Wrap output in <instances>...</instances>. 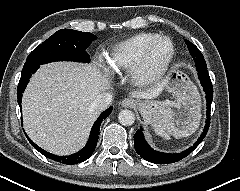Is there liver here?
Instances as JSON below:
<instances>
[{"instance_id":"1","label":"liver","mask_w":240,"mask_h":191,"mask_svg":"<svg viewBox=\"0 0 240 191\" xmlns=\"http://www.w3.org/2000/svg\"><path fill=\"white\" fill-rule=\"evenodd\" d=\"M165 82L132 97L153 99ZM110 89V81L94 64L53 62L32 76L22 99L24 128L39 147L56 155H70L86 143L100 111L96 97Z\"/></svg>"}]
</instances>
